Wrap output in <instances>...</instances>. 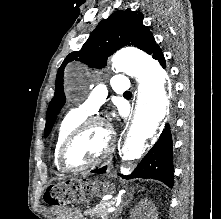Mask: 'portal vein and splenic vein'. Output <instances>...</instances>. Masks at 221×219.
Segmentation results:
<instances>
[{"label": "portal vein and splenic vein", "instance_id": "1", "mask_svg": "<svg viewBox=\"0 0 221 219\" xmlns=\"http://www.w3.org/2000/svg\"><path fill=\"white\" fill-rule=\"evenodd\" d=\"M115 210V207H110L109 209H108V212H113Z\"/></svg>", "mask_w": 221, "mask_h": 219}]
</instances>
